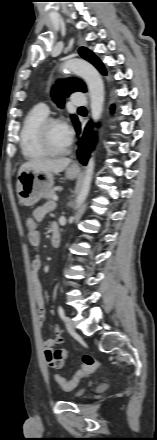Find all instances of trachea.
<instances>
[{"instance_id":"3493384b","label":"trachea","mask_w":157,"mask_h":440,"mask_svg":"<svg viewBox=\"0 0 157 440\" xmlns=\"http://www.w3.org/2000/svg\"><path fill=\"white\" fill-rule=\"evenodd\" d=\"M79 109H85L84 107H80Z\"/></svg>"}]
</instances>
